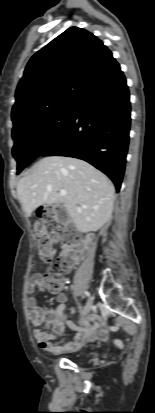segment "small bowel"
<instances>
[{
  "mask_svg": "<svg viewBox=\"0 0 155 413\" xmlns=\"http://www.w3.org/2000/svg\"><path fill=\"white\" fill-rule=\"evenodd\" d=\"M72 265L67 272L72 269ZM45 288L41 274H34L27 286L29 317L33 326L34 337L41 349L52 354L75 352L87 342L107 337L108 325L96 315L88 316L80 326H77L68 319L64 304H60L54 312L47 313L33 296L35 290L44 291ZM58 298L61 302L66 299L63 294H59ZM45 321L52 325L53 333L41 330V325ZM65 326L70 327L75 332L73 340L70 342H64V340L53 342L54 337L60 334Z\"/></svg>",
  "mask_w": 155,
  "mask_h": 413,
  "instance_id": "1",
  "label": "small bowel"
}]
</instances>
